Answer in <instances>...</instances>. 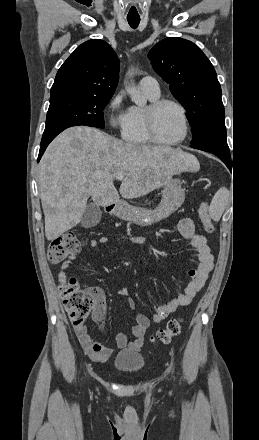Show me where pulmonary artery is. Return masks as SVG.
Listing matches in <instances>:
<instances>
[{
	"label": "pulmonary artery",
	"instance_id": "obj_1",
	"mask_svg": "<svg viewBox=\"0 0 259 440\" xmlns=\"http://www.w3.org/2000/svg\"><path fill=\"white\" fill-rule=\"evenodd\" d=\"M139 86L145 94H149L151 96L160 95L159 84L157 80L152 76L143 77L139 82Z\"/></svg>",
	"mask_w": 259,
	"mask_h": 440
}]
</instances>
